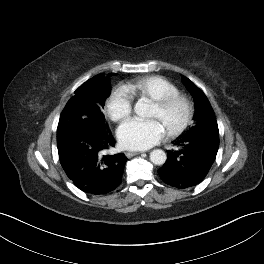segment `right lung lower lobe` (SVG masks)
<instances>
[{"mask_svg": "<svg viewBox=\"0 0 264 264\" xmlns=\"http://www.w3.org/2000/svg\"><path fill=\"white\" fill-rule=\"evenodd\" d=\"M115 143L109 129L96 123L80 125L57 138L60 163L80 190L100 195L119 186L128 159L111 153Z\"/></svg>", "mask_w": 264, "mask_h": 264, "instance_id": "1", "label": "right lung lower lobe"}]
</instances>
